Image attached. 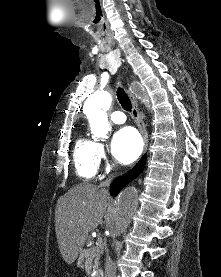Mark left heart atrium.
Here are the masks:
<instances>
[{
  "mask_svg": "<svg viewBox=\"0 0 221 277\" xmlns=\"http://www.w3.org/2000/svg\"><path fill=\"white\" fill-rule=\"evenodd\" d=\"M142 145V140L137 131L132 127H124L113 136L111 153L117 161L129 164L140 155Z\"/></svg>",
  "mask_w": 221,
  "mask_h": 277,
  "instance_id": "left-heart-atrium-1",
  "label": "left heart atrium"
}]
</instances>
